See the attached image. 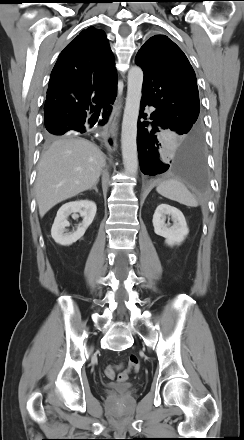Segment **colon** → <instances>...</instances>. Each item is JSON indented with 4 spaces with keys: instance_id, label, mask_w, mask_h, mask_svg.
I'll return each instance as SVG.
<instances>
[{
    "instance_id": "obj_1",
    "label": "colon",
    "mask_w": 244,
    "mask_h": 440,
    "mask_svg": "<svg viewBox=\"0 0 244 440\" xmlns=\"http://www.w3.org/2000/svg\"><path fill=\"white\" fill-rule=\"evenodd\" d=\"M129 367L131 369H134L135 371L139 370V368H140V360H139L138 356L132 354L129 357ZM104 372H105V375H106L107 378L114 379L115 376H116V367L109 365V366H107L105 368ZM128 377H129V372L128 371H123V372H121L117 376V381L121 382V383L125 382V381H127Z\"/></svg>"
}]
</instances>
